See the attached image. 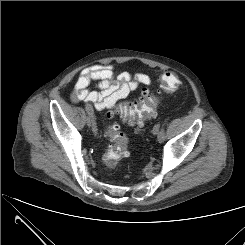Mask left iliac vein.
Returning <instances> with one entry per match:
<instances>
[{"label": "left iliac vein", "mask_w": 245, "mask_h": 245, "mask_svg": "<svg viewBox=\"0 0 245 245\" xmlns=\"http://www.w3.org/2000/svg\"><path fill=\"white\" fill-rule=\"evenodd\" d=\"M159 128H160V124H156L153 128V134L154 135H158V140L159 141H163L164 139L161 138L160 133H159Z\"/></svg>", "instance_id": "1"}]
</instances>
